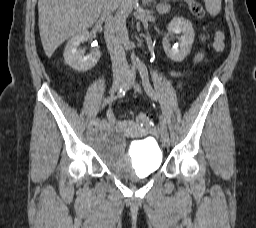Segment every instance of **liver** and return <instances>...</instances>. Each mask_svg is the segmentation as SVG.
Masks as SVG:
<instances>
[{"label":"liver","instance_id":"1","mask_svg":"<svg viewBox=\"0 0 256 228\" xmlns=\"http://www.w3.org/2000/svg\"><path fill=\"white\" fill-rule=\"evenodd\" d=\"M103 0H38L39 31L48 58L71 36L93 26Z\"/></svg>","mask_w":256,"mask_h":228}]
</instances>
